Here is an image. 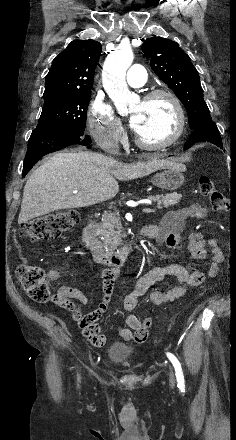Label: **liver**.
<instances>
[{"label": "liver", "mask_w": 236, "mask_h": 440, "mask_svg": "<svg viewBox=\"0 0 236 440\" xmlns=\"http://www.w3.org/2000/svg\"><path fill=\"white\" fill-rule=\"evenodd\" d=\"M173 164L163 159L124 164L87 151L56 153L27 180L18 223L56 210L106 201L119 191L116 179L127 181L144 177Z\"/></svg>", "instance_id": "liver-1"}]
</instances>
